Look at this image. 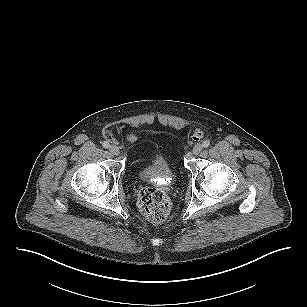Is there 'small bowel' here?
<instances>
[{
    "mask_svg": "<svg viewBox=\"0 0 307 307\" xmlns=\"http://www.w3.org/2000/svg\"><path fill=\"white\" fill-rule=\"evenodd\" d=\"M136 139H137V136H136L135 134H133V133H131V134H129V135L127 136V140H128L129 142H134Z\"/></svg>",
    "mask_w": 307,
    "mask_h": 307,
    "instance_id": "1",
    "label": "small bowel"
}]
</instances>
